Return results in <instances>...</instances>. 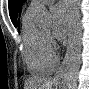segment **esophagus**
Returning <instances> with one entry per match:
<instances>
[{
    "mask_svg": "<svg viewBox=\"0 0 89 89\" xmlns=\"http://www.w3.org/2000/svg\"><path fill=\"white\" fill-rule=\"evenodd\" d=\"M67 60H68V49H67L66 55H65L61 65L59 66L58 70L55 73L54 79L61 80L63 78L64 72L66 69V65H67Z\"/></svg>",
    "mask_w": 89,
    "mask_h": 89,
    "instance_id": "obj_1",
    "label": "esophagus"
}]
</instances>
